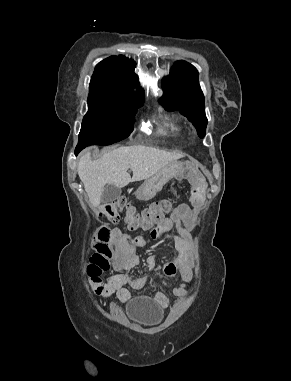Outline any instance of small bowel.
Here are the masks:
<instances>
[{
    "mask_svg": "<svg viewBox=\"0 0 291 381\" xmlns=\"http://www.w3.org/2000/svg\"><path fill=\"white\" fill-rule=\"evenodd\" d=\"M194 210L187 204H181L174 208L169 217L156 226L150 233L151 239L164 238L173 242L178 254L171 261L165 263L162 267L164 274L168 277L165 285L172 288L173 293L177 297H184L186 292V284L192 279V269L194 266V256L192 253V240L188 230L192 223ZM172 226L175 227L176 233L171 232ZM118 235L117 243L119 245V257L122 260L124 273L114 274L104 281L101 277L95 276L90 278V285L94 293L103 299H107L116 294L118 299L126 302L130 298L127 286L134 288H142L146 281L137 279L128 274L129 270L137 266L140 262L139 256L134 252L135 247L143 246L148 242V238L144 236H136L130 239L128 243L121 239V233L115 230ZM148 265L152 268L158 266V258L153 256L148 259ZM179 275L182 283L175 286L173 278ZM155 301L163 308L169 304L168 296L163 292H157Z\"/></svg>",
    "mask_w": 291,
    "mask_h": 381,
    "instance_id": "c3829d8e",
    "label": "small bowel"
}]
</instances>
